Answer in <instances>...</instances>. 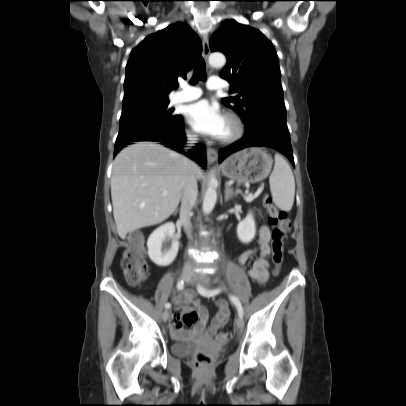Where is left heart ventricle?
<instances>
[{"label": "left heart ventricle", "mask_w": 406, "mask_h": 406, "mask_svg": "<svg viewBox=\"0 0 406 406\" xmlns=\"http://www.w3.org/2000/svg\"><path fill=\"white\" fill-rule=\"evenodd\" d=\"M231 124L225 119L224 127L221 133L220 138L228 136L232 132Z\"/></svg>", "instance_id": "b2bd125f"}]
</instances>
